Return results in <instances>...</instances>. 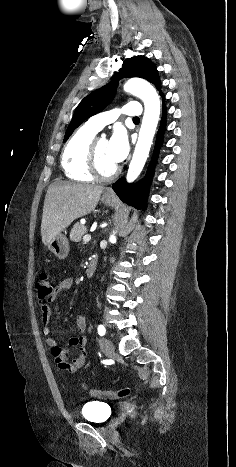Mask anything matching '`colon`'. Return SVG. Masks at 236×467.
Wrapping results in <instances>:
<instances>
[{
	"label": "colon",
	"mask_w": 236,
	"mask_h": 467,
	"mask_svg": "<svg viewBox=\"0 0 236 467\" xmlns=\"http://www.w3.org/2000/svg\"><path fill=\"white\" fill-rule=\"evenodd\" d=\"M36 291L37 298L39 302H44L48 300L53 292V286L50 277L43 273L40 275L39 279L36 282ZM85 389L87 387L83 385ZM91 394L97 397L108 398V399H121L126 398L131 394V389L129 387L122 388L117 391H94L90 390Z\"/></svg>",
	"instance_id": "5ec220e1"
}]
</instances>
